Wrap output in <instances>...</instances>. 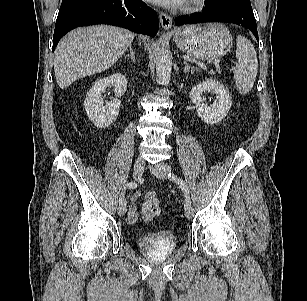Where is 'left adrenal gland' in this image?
<instances>
[{
	"instance_id": "left-adrenal-gland-1",
	"label": "left adrenal gland",
	"mask_w": 307,
	"mask_h": 301,
	"mask_svg": "<svg viewBox=\"0 0 307 301\" xmlns=\"http://www.w3.org/2000/svg\"><path fill=\"white\" fill-rule=\"evenodd\" d=\"M183 63H184V65H185V68H184V72H185V73L188 72L190 69H195L194 66L188 65V63H187L186 61H184Z\"/></svg>"
}]
</instances>
